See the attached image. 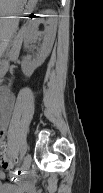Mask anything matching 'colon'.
<instances>
[{
    "mask_svg": "<svg viewBox=\"0 0 103 193\" xmlns=\"http://www.w3.org/2000/svg\"><path fill=\"white\" fill-rule=\"evenodd\" d=\"M1 164L5 169L8 170H12L14 171L16 174H19L20 169L18 168V166L16 165V163H14L11 158L9 157L7 151H6V146L4 143L1 144Z\"/></svg>",
    "mask_w": 103,
    "mask_h": 193,
    "instance_id": "obj_1",
    "label": "colon"
}]
</instances>
